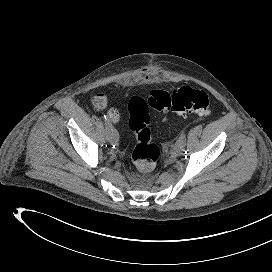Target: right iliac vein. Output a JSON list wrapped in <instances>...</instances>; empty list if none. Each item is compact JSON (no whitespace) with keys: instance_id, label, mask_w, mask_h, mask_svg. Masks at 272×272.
I'll return each instance as SVG.
<instances>
[{"instance_id":"1","label":"right iliac vein","mask_w":272,"mask_h":272,"mask_svg":"<svg viewBox=\"0 0 272 272\" xmlns=\"http://www.w3.org/2000/svg\"><path fill=\"white\" fill-rule=\"evenodd\" d=\"M108 125L111 128L108 129L107 126H106V129H105L106 138L110 143H117L118 140H119L118 133L116 132V130L112 127V125L110 123H108Z\"/></svg>"}]
</instances>
